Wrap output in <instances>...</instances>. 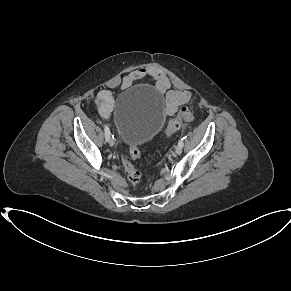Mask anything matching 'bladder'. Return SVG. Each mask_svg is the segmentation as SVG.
<instances>
[{
    "label": "bladder",
    "mask_w": 291,
    "mask_h": 291,
    "mask_svg": "<svg viewBox=\"0 0 291 291\" xmlns=\"http://www.w3.org/2000/svg\"><path fill=\"white\" fill-rule=\"evenodd\" d=\"M114 122L125 145L140 147L146 144L165 123L160 95L146 85L127 88L117 100Z\"/></svg>",
    "instance_id": "obj_1"
}]
</instances>
